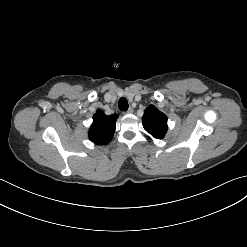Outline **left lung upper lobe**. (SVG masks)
Returning a JSON list of instances; mask_svg holds the SVG:
<instances>
[{"mask_svg": "<svg viewBox=\"0 0 247 247\" xmlns=\"http://www.w3.org/2000/svg\"><path fill=\"white\" fill-rule=\"evenodd\" d=\"M144 129L154 138L162 139L167 132V117L155 106L150 105L144 111L142 117Z\"/></svg>", "mask_w": 247, "mask_h": 247, "instance_id": "1", "label": "left lung upper lobe"}]
</instances>
